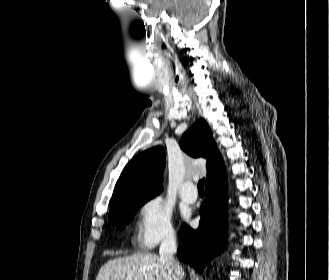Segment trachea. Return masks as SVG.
Segmentation results:
<instances>
[{
    "label": "trachea",
    "mask_w": 329,
    "mask_h": 280,
    "mask_svg": "<svg viewBox=\"0 0 329 280\" xmlns=\"http://www.w3.org/2000/svg\"><path fill=\"white\" fill-rule=\"evenodd\" d=\"M198 191H204V178L198 182Z\"/></svg>",
    "instance_id": "trachea-1"
}]
</instances>
